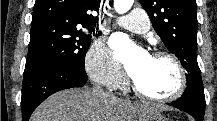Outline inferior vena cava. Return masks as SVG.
<instances>
[{"label": "inferior vena cava", "instance_id": "602c4592", "mask_svg": "<svg viewBox=\"0 0 217 121\" xmlns=\"http://www.w3.org/2000/svg\"><path fill=\"white\" fill-rule=\"evenodd\" d=\"M93 94L99 97H114L113 94L103 91L100 87H94L92 89Z\"/></svg>", "mask_w": 217, "mask_h": 121}]
</instances>
